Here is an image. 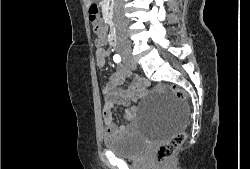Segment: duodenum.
Listing matches in <instances>:
<instances>
[{
    "label": "duodenum",
    "instance_id": "obj_1",
    "mask_svg": "<svg viewBox=\"0 0 250 169\" xmlns=\"http://www.w3.org/2000/svg\"><path fill=\"white\" fill-rule=\"evenodd\" d=\"M108 40H109L110 44L113 45V46L119 45V41H118L117 34H116L115 31H110L109 32Z\"/></svg>",
    "mask_w": 250,
    "mask_h": 169
}]
</instances>
